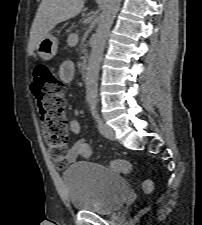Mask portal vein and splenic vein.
<instances>
[{"label": "portal vein and splenic vein", "mask_w": 202, "mask_h": 225, "mask_svg": "<svg viewBox=\"0 0 202 225\" xmlns=\"http://www.w3.org/2000/svg\"><path fill=\"white\" fill-rule=\"evenodd\" d=\"M67 42L70 45H72V46L77 45V43H78V34L77 33L70 34L68 39H67Z\"/></svg>", "instance_id": "portal-vein-and-splenic-vein-1"}]
</instances>
